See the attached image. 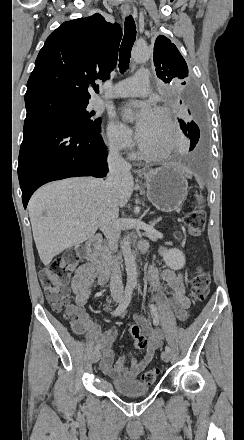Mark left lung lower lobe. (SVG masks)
Listing matches in <instances>:
<instances>
[{"label": "left lung lower lobe", "mask_w": 244, "mask_h": 440, "mask_svg": "<svg viewBox=\"0 0 244 440\" xmlns=\"http://www.w3.org/2000/svg\"><path fill=\"white\" fill-rule=\"evenodd\" d=\"M182 104V112L186 118V122L182 119L181 129L190 139V151L193 150L199 141L200 130L198 124L200 122V108L198 100L192 91H187L183 94L180 100ZM179 120V118H178Z\"/></svg>", "instance_id": "1"}]
</instances>
